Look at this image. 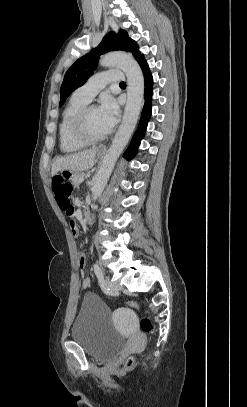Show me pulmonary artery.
Wrapping results in <instances>:
<instances>
[{
  "instance_id": "obj_1",
  "label": "pulmonary artery",
  "mask_w": 247,
  "mask_h": 407,
  "mask_svg": "<svg viewBox=\"0 0 247 407\" xmlns=\"http://www.w3.org/2000/svg\"><path fill=\"white\" fill-rule=\"evenodd\" d=\"M124 75L119 70H107L96 73L85 84L73 93V97L84 102H90L97 93L109 83H120Z\"/></svg>"
}]
</instances>
